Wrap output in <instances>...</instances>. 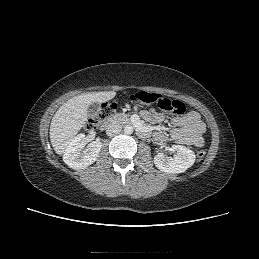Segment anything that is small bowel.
<instances>
[{"mask_svg": "<svg viewBox=\"0 0 259 259\" xmlns=\"http://www.w3.org/2000/svg\"><path fill=\"white\" fill-rule=\"evenodd\" d=\"M141 117L150 123H160L163 120V114L154 110H142ZM206 126L201 120L200 115L195 111H190L185 116L175 117L172 119V128L169 134L162 130L154 133V138L159 142L171 140L178 144L192 145L201 147L204 144L203 134Z\"/></svg>", "mask_w": 259, "mask_h": 259, "instance_id": "obj_1", "label": "small bowel"}]
</instances>
